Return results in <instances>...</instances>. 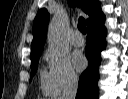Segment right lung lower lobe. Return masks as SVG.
Returning <instances> with one entry per match:
<instances>
[{
	"instance_id": "1",
	"label": "right lung lower lobe",
	"mask_w": 128,
	"mask_h": 99,
	"mask_svg": "<svg viewBox=\"0 0 128 99\" xmlns=\"http://www.w3.org/2000/svg\"><path fill=\"white\" fill-rule=\"evenodd\" d=\"M104 20V14L101 12L87 24L88 35L85 55L88 59V67L79 78L76 99H98L97 82L99 79L98 69L101 63L100 52L106 46Z\"/></svg>"
}]
</instances>
